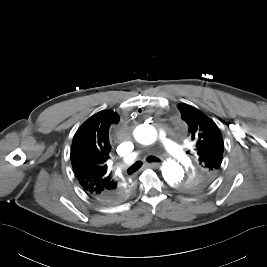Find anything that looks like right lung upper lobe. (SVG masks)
<instances>
[{
	"mask_svg": "<svg viewBox=\"0 0 267 267\" xmlns=\"http://www.w3.org/2000/svg\"><path fill=\"white\" fill-rule=\"evenodd\" d=\"M119 117L104 110L90 117L77 130L71 147V163L84 191L95 197L118 190L126 182L115 180L107 170L110 158L109 128Z\"/></svg>",
	"mask_w": 267,
	"mask_h": 267,
	"instance_id": "1",
	"label": "right lung upper lobe"
}]
</instances>
